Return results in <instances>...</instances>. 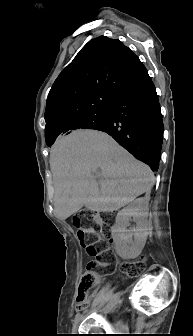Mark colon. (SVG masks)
Instances as JSON below:
<instances>
[{
    "instance_id": "colon-1",
    "label": "colon",
    "mask_w": 193,
    "mask_h": 336,
    "mask_svg": "<svg viewBox=\"0 0 193 336\" xmlns=\"http://www.w3.org/2000/svg\"><path fill=\"white\" fill-rule=\"evenodd\" d=\"M72 225L77 231L80 244L90 256L102 264L111 260L112 218L109 214L93 211L81 212L73 216ZM145 262V257L125 262L122 265V270L128 277H138L145 268ZM97 266L95 263L88 264L87 271L82 276L77 295V303L80 307L85 305L88 294L99 281V275L96 272Z\"/></svg>"
}]
</instances>
